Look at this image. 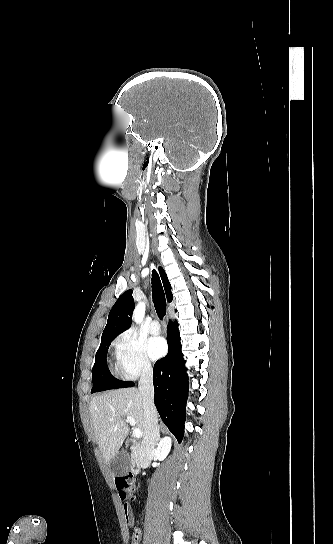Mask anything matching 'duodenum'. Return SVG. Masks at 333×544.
Returning a JSON list of instances; mask_svg holds the SVG:
<instances>
[{
	"mask_svg": "<svg viewBox=\"0 0 333 544\" xmlns=\"http://www.w3.org/2000/svg\"><path fill=\"white\" fill-rule=\"evenodd\" d=\"M150 458V450L140 444L131 445V472L137 475L147 466Z\"/></svg>",
	"mask_w": 333,
	"mask_h": 544,
	"instance_id": "1",
	"label": "duodenum"
}]
</instances>
